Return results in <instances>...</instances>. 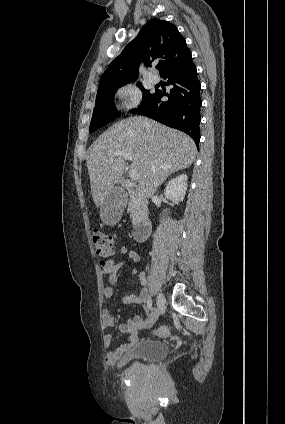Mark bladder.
Instances as JSON below:
<instances>
[{
	"label": "bladder",
	"instance_id": "obj_1",
	"mask_svg": "<svg viewBox=\"0 0 285 424\" xmlns=\"http://www.w3.org/2000/svg\"><path fill=\"white\" fill-rule=\"evenodd\" d=\"M168 353L166 343L156 340H145L127 350L119 359L118 365L124 366L134 362H157Z\"/></svg>",
	"mask_w": 285,
	"mask_h": 424
}]
</instances>
